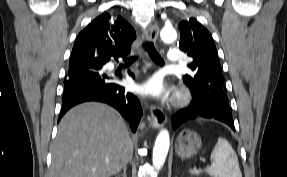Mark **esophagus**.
I'll list each match as a JSON object with an SVG mask.
<instances>
[{
  "mask_svg": "<svg viewBox=\"0 0 287 177\" xmlns=\"http://www.w3.org/2000/svg\"><path fill=\"white\" fill-rule=\"evenodd\" d=\"M159 34V27L157 24H151L145 31L146 38L150 42H155ZM151 125L155 129H160L166 122V115L162 109L156 105H150Z\"/></svg>",
  "mask_w": 287,
  "mask_h": 177,
  "instance_id": "obj_1",
  "label": "esophagus"
}]
</instances>
